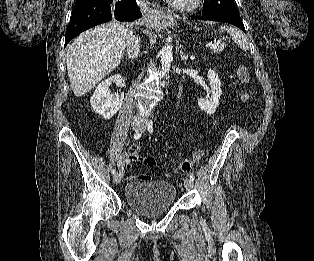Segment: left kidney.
<instances>
[{
    "instance_id": "5707ae66",
    "label": "left kidney",
    "mask_w": 314,
    "mask_h": 261,
    "mask_svg": "<svg viewBox=\"0 0 314 261\" xmlns=\"http://www.w3.org/2000/svg\"><path fill=\"white\" fill-rule=\"evenodd\" d=\"M208 80L211 84V98H199L198 106L203 110L207 115H212L215 113L217 107L219 106V99L222 95L221 90V81L218 77V74L214 70H209L207 73Z\"/></svg>"
}]
</instances>
